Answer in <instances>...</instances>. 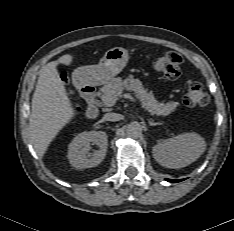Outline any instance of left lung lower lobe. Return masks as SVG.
I'll use <instances>...</instances> for the list:
<instances>
[{"label":"left lung lower lobe","mask_w":234,"mask_h":231,"mask_svg":"<svg viewBox=\"0 0 234 231\" xmlns=\"http://www.w3.org/2000/svg\"><path fill=\"white\" fill-rule=\"evenodd\" d=\"M167 181H169V182H179V181H181V180H171V179H167Z\"/></svg>","instance_id":"left-lung-lower-lobe-1"}]
</instances>
